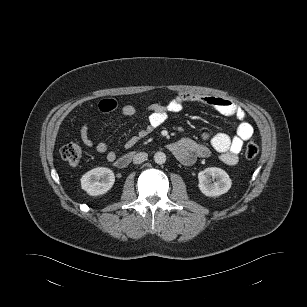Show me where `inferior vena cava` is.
I'll use <instances>...</instances> for the list:
<instances>
[{"label":"inferior vena cava","mask_w":307,"mask_h":307,"mask_svg":"<svg viewBox=\"0 0 307 307\" xmlns=\"http://www.w3.org/2000/svg\"><path fill=\"white\" fill-rule=\"evenodd\" d=\"M148 158V154L145 152H140L134 155L133 163L134 164H141L142 162L146 161Z\"/></svg>","instance_id":"1"}]
</instances>
